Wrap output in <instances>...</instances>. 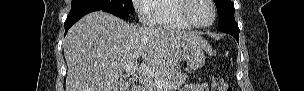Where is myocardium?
I'll use <instances>...</instances> for the list:
<instances>
[{
	"label": "myocardium",
	"instance_id": "1",
	"mask_svg": "<svg viewBox=\"0 0 304 91\" xmlns=\"http://www.w3.org/2000/svg\"><path fill=\"white\" fill-rule=\"evenodd\" d=\"M207 3L211 6L213 16L209 23L207 24H199L193 20L191 17L190 11L194 6L195 0H181V6L179 8V12L181 17L192 27L194 28H208L210 27L216 20L217 10L213 0H206Z\"/></svg>",
	"mask_w": 304,
	"mask_h": 91
}]
</instances>
